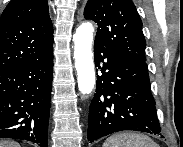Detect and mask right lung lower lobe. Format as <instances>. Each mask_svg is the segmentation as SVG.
<instances>
[{
  "label": "right lung lower lobe",
  "instance_id": "98d812e1",
  "mask_svg": "<svg viewBox=\"0 0 183 147\" xmlns=\"http://www.w3.org/2000/svg\"><path fill=\"white\" fill-rule=\"evenodd\" d=\"M53 51L0 73V138L47 147Z\"/></svg>",
  "mask_w": 183,
  "mask_h": 147
}]
</instances>
